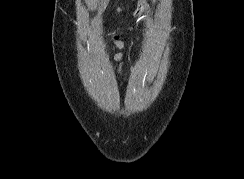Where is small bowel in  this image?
Returning <instances> with one entry per match:
<instances>
[{
	"label": "small bowel",
	"instance_id": "obj_1",
	"mask_svg": "<svg viewBox=\"0 0 244 179\" xmlns=\"http://www.w3.org/2000/svg\"><path fill=\"white\" fill-rule=\"evenodd\" d=\"M115 45L119 48V49H123L124 48V42L120 39H116L115 40ZM123 58H124V55L123 53H118L116 55V60L120 63V64H123Z\"/></svg>",
	"mask_w": 244,
	"mask_h": 179
}]
</instances>
